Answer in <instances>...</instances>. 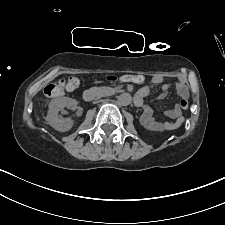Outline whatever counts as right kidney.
Segmentation results:
<instances>
[{
  "label": "right kidney",
  "instance_id": "obj_1",
  "mask_svg": "<svg viewBox=\"0 0 225 225\" xmlns=\"http://www.w3.org/2000/svg\"><path fill=\"white\" fill-rule=\"evenodd\" d=\"M77 106V101L69 97H61L53 99L48 105V114L46 116V121L50 126L58 131H68L73 126V121L71 118H60L59 111L64 107L75 108Z\"/></svg>",
  "mask_w": 225,
  "mask_h": 225
}]
</instances>
